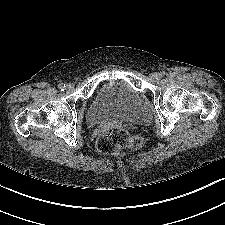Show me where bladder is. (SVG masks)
Listing matches in <instances>:
<instances>
[{
	"label": "bladder",
	"mask_w": 225,
	"mask_h": 225,
	"mask_svg": "<svg viewBox=\"0 0 225 225\" xmlns=\"http://www.w3.org/2000/svg\"><path fill=\"white\" fill-rule=\"evenodd\" d=\"M91 126L111 121L146 124L151 119L143 98L123 80L105 83L94 95L86 115Z\"/></svg>",
	"instance_id": "1"
}]
</instances>
